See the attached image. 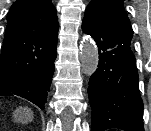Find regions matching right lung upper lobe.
Masks as SVG:
<instances>
[{"instance_id": "obj_1", "label": "right lung upper lobe", "mask_w": 151, "mask_h": 131, "mask_svg": "<svg viewBox=\"0 0 151 131\" xmlns=\"http://www.w3.org/2000/svg\"><path fill=\"white\" fill-rule=\"evenodd\" d=\"M58 20L51 0H17L7 15L0 56V87L33 74L57 46Z\"/></svg>"}]
</instances>
